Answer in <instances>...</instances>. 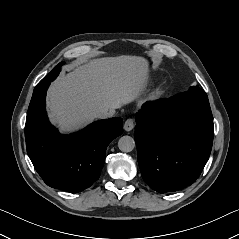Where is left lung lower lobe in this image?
<instances>
[{
    "instance_id": "left-lung-lower-lobe-1",
    "label": "left lung lower lobe",
    "mask_w": 239,
    "mask_h": 239,
    "mask_svg": "<svg viewBox=\"0 0 239 239\" xmlns=\"http://www.w3.org/2000/svg\"><path fill=\"white\" fill-rule=\"evenodd\" d=\"M134 138L144 181L159 193L196 181L211 152L213 116L206 93L187 91L148 102L136 114Z\"/></svg>"
}]
</instances>
